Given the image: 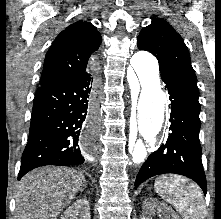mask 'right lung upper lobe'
Wrapping results in <instances>:
<instances>
[{
	"label": "right lung upper lobe",
	"instance_id": "1",
	"mask_svg": "<svg viewBox=\"0 0 221 219\" xmlns=\"http://www.w3.org/2000/svg\"><path fill=\"white\" fill-rule=\"evenodd\" d=\"M102 37L87 21L69 25L48 50L40 86L60 82L90 69L91 54L98 50Z\"/></svg>",
	"mask_w": 221,
	"mask_h": 219
}]
</instances>
